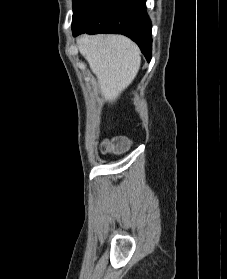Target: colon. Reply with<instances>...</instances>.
Listing matches in <instances>:
<instances>
[{
    "label": "colon",
    "instance_id": "5ec220e1",
    "mask_svg": "<svg viewBox=\"0 0 227 279\" xmlns=\"http://www.w3.org/2000/svg\"><path fill=\"white\" fill-rule=\"evenodd\" d=\"M129 147V143L126 141H114L112 143H104L101 147V152L109 153H122L126 151Z\"/></svg>",
    "mask_w": 227,
    "mask_h": 279
}]
</instances>
